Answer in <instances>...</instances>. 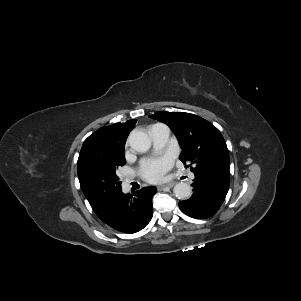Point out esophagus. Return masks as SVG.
Wrapping results in <instances>:
<instances>
[{
  "label": "esophagus",
  "mask_w": 301,
  "mask_h": 301,
  "mask_svg": "<svg viewBox=\"0 0 301 301\" xmlns=\"http://www.w3.org/2000/svg\"><path fill=\"white\" fill-rule=\"evenodd\" d=\"M174 185H175L174 182H170V183H167V184L159 185L158 188H159V189H163V188H172Z\"/></svg>",
  "instance_id": "34e87169"
}]
</instances>
